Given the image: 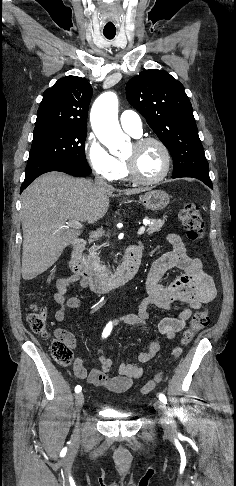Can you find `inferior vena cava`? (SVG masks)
Listing matches in <instances>:
<instances>
[{
	"mask_svg": "<svg viewBox=\"0 0 236 486\" xmlns=\"http://www.w3.org/2000/svg\"><path fill=\"white\" fill-rule=\"evenodd\" d=\"M94 184L101 188L109 187L108 183L102 177L95 178Z\"/></svg>",
	"mask_w": 236,
	"mask_h": 486,
	"instance_id": "1",
	"label": "inferior vena cava"
}]
</instances>
